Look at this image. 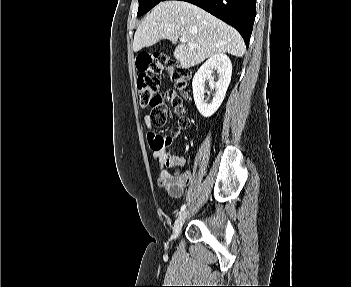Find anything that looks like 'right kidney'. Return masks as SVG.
Masks as SVG:
<instances>
[{
  "mask_svg": "<svg viewBox=\"0 0 351 287\" xmlns=\"http://www.w3.org/2000/svg\"><path fill=\"white\" fill-rule=\"evenodd\" d=\"M217 71L219 79L214 82L213 71ZM232 64L229 57L223 53L211 56L195 73L192 88L195 105L204 117L212 116L223 102L226 91L231 81ZM209 81L211 88H215L216 93L211 103L205 100V81Z\"/></svg>",
  "mask_w": 351,
  "mask_h": 287,
  "instance_id": "1",
  "label": "right kidney"
}]
</instances>
